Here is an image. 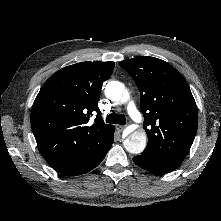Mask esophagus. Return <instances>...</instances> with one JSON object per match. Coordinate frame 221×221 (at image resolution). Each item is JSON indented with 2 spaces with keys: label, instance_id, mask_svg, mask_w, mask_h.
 Segmentation results:
<instances>
[{
  "label": "esophagus",
  "instance_id": "esophagus-1",
  "mask_svg": "<svg viewBox=\"0 0 221 221\" xmlns=\"http://www.w3.org/2000/svg\"><path fill=\"white\" fill-rule=\"evenodd\" d=\"M124 129H125V126L117 125V130H118L119 132H122Z\"/></svg>",
  "mask_w": 221,
  "mask_h": 221
}]
</instances>
